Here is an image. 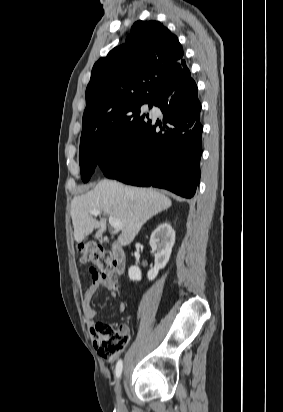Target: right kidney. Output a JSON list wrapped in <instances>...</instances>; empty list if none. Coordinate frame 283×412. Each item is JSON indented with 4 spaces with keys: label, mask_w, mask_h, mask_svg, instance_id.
<instances>
[{
    "label": "right kidney",
    "mask_w": 283,
    "mask_h": 412,
    "mask_svg": "<svg viewBox=\"0 0 283 412\" xmlns=\"http://www.w3.org/2000/svg\"><path fill=\"white\" fill-rule=\"evenodd\" d=\"M175 243V231L168 223L160 224L151 234L150 246L155 256L154 268L147 273L149 280H154L160 269H163L168 263ZM128 275L132 281L141 280V271L138 266H131Z\"/></svg>",
    "instance_id": "1"
}]
</instances>
